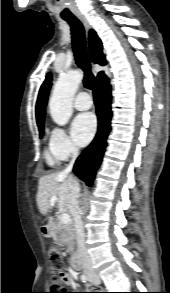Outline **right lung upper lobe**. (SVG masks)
Masks as SVG:
<instances>
[{
    "mask_svg": "<svg viewBox=\"0 0 170 293\" xmlns=\"http://www.w3.org/2000/svg\"><path fill=\"white\" fill-rule=\"evenodd\" d=\"M89 48L92 61L94 63H99L100 65H105L106 60L104 55L102 54V43L94 30H90L89 32ZM102 76H104V74L103 72H100L97 76V79H99ZM51 80L52 76L49 73L39 91L36 103V119L38 127H43L44 124L45 106L47 103L48 93L51 86Z\"/></svg>",
    "mask_w": 170,
    "mask_h": 293,
    "instance_id": "cb5924a9",
    "label": "right lung upper lobe"
}]
</instances>
